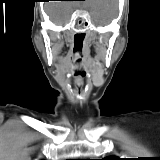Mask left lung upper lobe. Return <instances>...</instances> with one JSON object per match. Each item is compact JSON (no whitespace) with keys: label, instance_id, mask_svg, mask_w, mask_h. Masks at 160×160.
Segmentation results:
<instances>
[{"label":"left lung upper lobe","instance_id":"left-lung-upper-lobe-1","mask_svg":"<svg viewBox=\"0 0 160 160\" xmlns=\"http://www.w3.org/2000/svg\"><path fill=\"white\" fill-rule=\"evenodd\" d=\"M102 160H120V158H117V157H108V158H102Z\"/></svg>","mask_w":160,"mask_h":160}]
</instances>
